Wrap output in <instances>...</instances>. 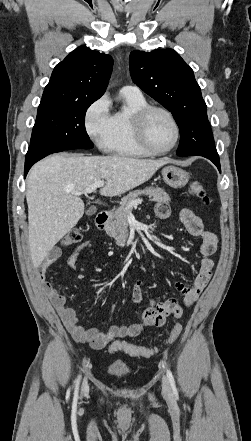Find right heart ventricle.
Wrapping results in <instances>:
<instances>
[{"label": "right heart ventricle", "instance_id": "1", "mask_svg": "<svg viewBox=\"0 0 251 441\" xmlns=\"http://www.w3.org/2000/svg\"><path fill=\"white\" fill-rule=\"evenodd\" d=\"M123 106L111 115L110 132L106 150L110 153L129 156L147 157L150 155L138 143L134 132V117L148 102L142 93L121 91Z\"/></svg>", "mask_w": 251, "mask_h": 441}]
</instances>
